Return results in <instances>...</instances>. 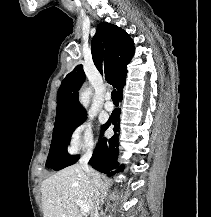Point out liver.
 I'll list each match as a JSON object with an SVG mask.
<instances>
[{"mask_svg": "<svg viewBox=\"0 0 211 217\" xmlns=\"http://www.w3.org/2000/svg\"><path fill=\"white\" fill-rule=\"evenodd\" d=\"M106 189L99 172L86 173L80 164L69 166L42 182L43 217H83L75 200L87 204L91 215L95 193Z\"/></svg>", "mask_w": 211, "mask_h": 217, "instance_id": "6515ba94", "label": "liver"}]
</instances>
